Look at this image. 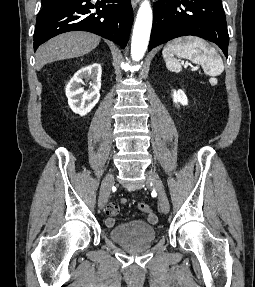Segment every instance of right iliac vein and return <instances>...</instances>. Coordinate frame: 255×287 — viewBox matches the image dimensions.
Returning a JSON list of instances; mask_svg holds the SVG:
<instances>
[{
	"mask_svg": "<svg viewBox=\"0 0 255 287\" xmlns=\"http://www.w3.org/2000/svg\"><path fill=\"white\" fill-rule=\"evenodd\" d=\"M114 184L113 174H108L101 185L100 194H99V208L103 209L108 202L110 195L111 187Z\"/></svg>",
	"mask_w": 255,
	"mask_h": 287,
	"instance_id": "1",
	"label": "right iliac vein"
}]
</instances>
